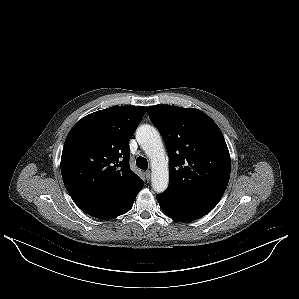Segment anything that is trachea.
Here are the masks:
<instances>
[{
    "mask_svg": "<svg viewBox=\"0 0 299 299\" xmlns=\"http://www.w3.org/2000/svg\"><path fill=\"white\" fill-rule=\"evenodd\" d=\"M136 165L138 168L146 170L148 168V161L144 157H138L136 160Z\"/></svg>",
    "mask_w": 299,
    "mask_h": 299,
    "instance_id": "1",
    "label": "trachea"
}]
</instances>
